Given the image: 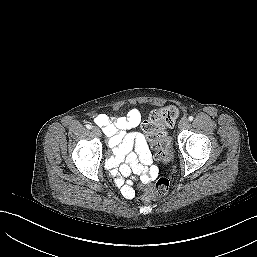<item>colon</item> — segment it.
Masks as SVG:
<instances>
[{
	"mask_svg": "<svg viewBox=\"0 0 257 257\" xmlns=\"http://www.w3.org/2000/svg\"><path fill=\"white\" fill-rule=\"evenodd\" d=\"M179 110L177 107L170 105L154 110L149 119L143 124L145 131L152 148L159 160L167 161L169 158L168 147L170 140L165 131L166 127L172 126L178 118ZM170 187L169 180L159 178L154 183L142 185L141 202L152 200L156 197L165 195Z\"/></svg>",
	"mask_w": 257,
	"mask_h": 257,
	"instance_id": "5ec220e1",
	"label": "colon"
}]
</instances>
